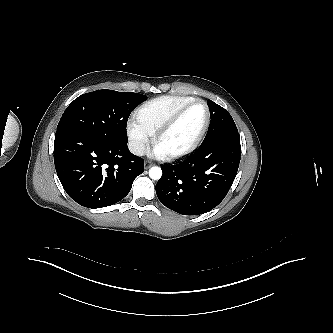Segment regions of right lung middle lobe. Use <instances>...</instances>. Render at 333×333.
I'll return each mask as SVG.
<instances>
[{"instance_id": "dd1d6c3e", "label": "right lung middle lobe", "mask_w": 333, "mask_h": 333, "mask_svg": "<svg viewBox=\"0 0 333 333\" xmlns=\"http://www.w3.org/2000/svg\"><path fill=\"white\" fill-rule=\"evenodd\" d=\"M146 98L138 93L107 89L83 94L64 111L56 133L72 132L103 141L127 143L128 117Z\"/></svg>"}]
</instances>
